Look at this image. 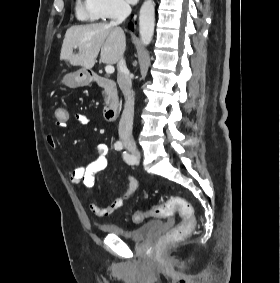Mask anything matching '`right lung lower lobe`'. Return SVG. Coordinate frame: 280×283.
Wrapping results in <instances>:
<instances>
[{
  "mask_svg": "<svg viewBox=\"0 0 280 283\" xmlns=\"http://www.w3.org/2000/svg\"><path fill=\"white\" fill-rule=\"evenodd\" d=\"M128 28L133 31V29H134L133 24H132V23H129Z\"/></svg>",
  "mask_w": 280,
  "mask_h": 283,
  "instance_id": "98d812e1",
  "label": "right lung lower lobe"
}]
</instances>
